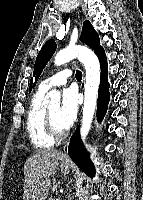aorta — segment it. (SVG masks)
Masks as SVG:
<instances>
[{
  "label": "aorta",
  "mask_w": 143,
  "mask_h": 200,
  "mask_svg": "<svg viewBox=\"0 0 143 200\" xmlns=\"http://www.w3.org/2000/svg\"><path fill=\"white\" fill-rule=\"evenodd\" d=\"M78 58L84 65L86 71V81L84 87V105L81 124V138L84 140L88 135L92 120L94 117L98 89L100 85V63L95 53L85 46H68L59 51L54 59L57 66L65 64L70 60ZM47 103L49 106L60 105V93L51 90L47 94Z\"/></svg>",
  "instance_id": "obj_1"
}]
</instances>
